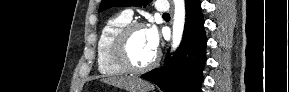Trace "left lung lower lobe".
<instances>
[{"instance_id":"obj_1","label":"left lung lower lobe","mask_w":289,"mask_h":92,"mask_svg":"<svg viewBox=\"0 0 289 92\" xmlns=\"http://www.w3.org/2000/svg\"><path fill=\"white\" fill-rule=\"evenodd\" d=\"M185 7L183 38L173 57L166 56L164 68H156L141 76L164 92H202L207 44L204 19L199 0H185Z\"/></svg>"}]
</instances>
